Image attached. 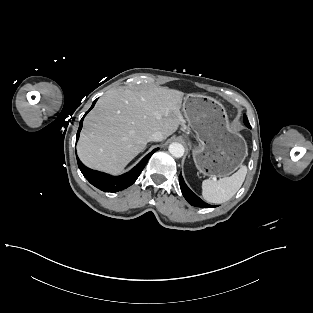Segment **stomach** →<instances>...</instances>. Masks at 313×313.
I'll return each instance as SVG.
<instances>
[{
	"mask_svg": "<svg viewBox=\"0 0 313 313\" xmlns=\"http://www.w3.org/2000/svg\"><path fill=\"white\" fill-rule=\"evenodd\" d=\"M183 112L196 139L192 156L200 173L225 177L242 165L248 155L247 143L232 129L219 101L189 94L184 99Z\"/></svg>",
	"mask_w": 313,
	"mask_h": 313,
	"instance_id": "1",
	"label": "stomach"
}]
</instances>
